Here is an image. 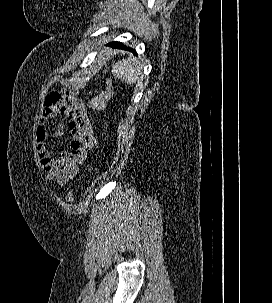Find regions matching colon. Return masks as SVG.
<instances>
[{
    "label": "colon",
    "instance_id": "colon-1",
    "mask_svg": "<svg viewBox=\"0 0 272 303\" xmlns=\"http://www.w3.org/2000/svg\"><path fill=\"white\" fill-rule=\"evenodd\" d=\"M113 95V86L110 80L107 81L106 89L95 99L89 102V108L95 112L100 111L111 100ZM68 202L74 200L73 191L70 190L66 197Z\"/></svg>",
    "mask_w": 272,
    "mask_h": 303
}]
</instances>
